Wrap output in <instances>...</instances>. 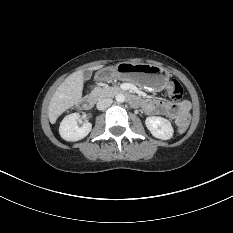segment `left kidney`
I'll use <instances>...</instances> for the list:
<instances>
[{"instance_id": "left-kidney-1", "label": "left kidney", "mask_w": 233, "mask_h": 233, "mask_svg": "<svg viewBox=\"0 0 233 233\" xmlns=\"http://www.w3.org/2000/svg\"><path fill=\"white\" fill-rule=\"evenodd\" d=\"M145 125L151 134L158 139L169 140L173 136V127L170 121L165 118L158 116L147 117Z\"/></svg>"}]
</instances>
